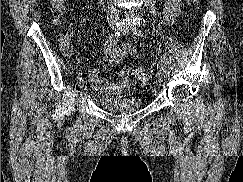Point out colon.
<instances>
[{
  "mask_svg": "<svg viewBox=\"0 0 243 182\" xmlns=\"http://www.w3.org/2000/svg\"><path fill=\"white\" fill-rule=\"evenodd\" d=\"M200 0H187V4L191 7H195ZM50 5L52 8L53 15L56 18H59L63 11H64V0H50ZM62 48L65 53L70 52V43L67 39H62ZM134 75L135 77L142 81L145 82L148 80L149 73L146 68L144 67H137L134 69Z\"/></svg>",
  "mask_w": 243,
  "mask_h": 182,
  "instance_id": "obj_1",
  "label": "colon"
}]
</instances>
